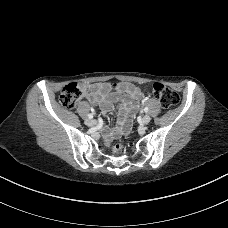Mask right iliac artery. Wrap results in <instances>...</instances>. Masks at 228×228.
Masks as SVG:
<instances>
[{
    "label": "right iliac artery",
    "instance_id": "right-iliac-artery-1",
    "mask_svg": "<svg viewBox=\"0 0 228 228\" xmlns=\"http://www.w3.org/2000/svg\"><path fill=\"white\" fill-rule=\"evenodd\" d=\"M88 118H93V113L88 114Z\"/></svg>",
    "mask_w": 228,
    "mask_h": 228
}]
</instances>
